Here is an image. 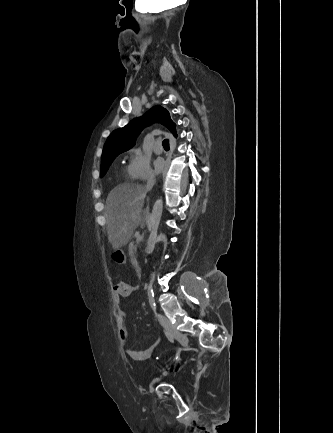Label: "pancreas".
Here are the masks:
<instances>
[{
	"instance_id": "cf45deb5",
	"label": "pancreas",
	"mask_w": 333,
	"mask_h": 433,
	"mask_svg": "<svg viewBox=\"0 0 333 433\" xmlns=\"http://www.w3.org/2000/svg\"><path fill=\"white\" fill-rule=\"evenodd\" d=\"M138 242L136 244H131L129 246V256L133 265L137 267L136 261V251H137Z\"/></svg>"
}]
</instances>
